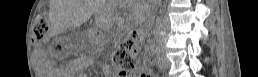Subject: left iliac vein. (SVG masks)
<instances>
[{
  "mask_svg": "<svg viewBox=\"0 0 258 77\" xmlns=\"http://www.w3.org/2000/svg\"><path fill=\"white\" fill-rule=\"evenodd\" d=\"M158 66L162 70H167L170 67V61L163 55L159 56Z\"/></svg>",
  "mask_w": 258,
  "mask_h": 77,
  "instance_id": "1",
  "label": "left iliac vein"
}]
</instances>
